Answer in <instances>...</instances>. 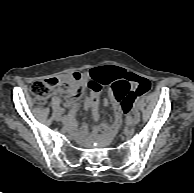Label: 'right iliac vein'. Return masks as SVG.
<instances>
[{
  "label": "right iliac vein",
  "instance_id": "obj_1",
  "mask_svg": "<svg viewBox=\"0 0 194 193\" xmlns=\"http://www.w3.org/2000/svg\"><path fill=\"white\" fill-rule=\"evenodd\" d=\"M57 120H58L59 122H61V121H62V118H57Z\"/></svg>",
  "mask_w": 194,
  "mask_h": 193
}]
</instances>
